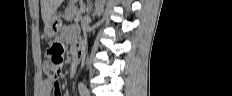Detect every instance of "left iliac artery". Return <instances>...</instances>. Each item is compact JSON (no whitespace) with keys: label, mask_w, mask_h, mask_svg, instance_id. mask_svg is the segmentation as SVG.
I'll return each instance as SVG.
<instances>
[{"label":"left iliac artery","mask_w":232,"mask_h":96,"mask_svg":"<svg viewBox=\"0 0 232 96\" xmlns=\"http://www.w3.org/2000/svg\"><path fill=\"white\" fill-rule=\"evenodd\" d=\"M79 91L81 96H89V92L84 85H81Z\"/></svg>","instance_id":"44dca946"}]
</instances>
